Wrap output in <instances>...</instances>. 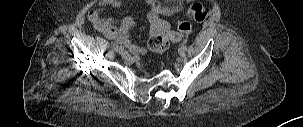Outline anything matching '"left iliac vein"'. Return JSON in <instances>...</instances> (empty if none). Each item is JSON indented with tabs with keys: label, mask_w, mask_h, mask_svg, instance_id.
Returning <instances> with one entry per match:
<instances>
[{
	"label": "left iliac vein",
	"mask_w": 303,
	"mask_h": 127,
	"mask_svg": "<svg viewBox=\"0 0 303 127\" xmlns=\"http://www.w3.org/2000/svg\"><path fill=\"white\" fill-rule=\"evenodd\" d=\"M179 53H180V56H181L182 58L185 57V52L179 50Z\"/></svg>",
	"instance_id": "4c4485c4"
}]
</instances>
